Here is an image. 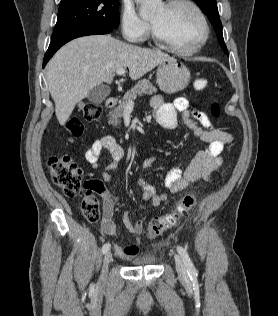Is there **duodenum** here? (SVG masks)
Here are the masks:
<instances>
[{
  "label": "duodenum",
  "instance_id": "duodenum-1",
  "mask_svg": "<svg viewBox=\"0 0 278 316\" xmlns=\"http://www.w3.org/2000/svg\"><path fill=\"white\" fill-rule=\"evenodd\" d=\"M116 103H117V98H115V97H109V98H107L106 101H105V106H106L107 108H112V107H114V106L116 105Z\"/></svg>",
  "mask_w": 278,
  "mask_h": 316
}]
</instances>
